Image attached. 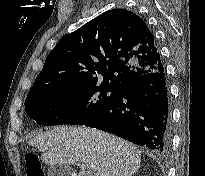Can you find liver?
<instances>
[{"label": "liver", "mask_w": 205, "mask_h": 176, "mask_svg": "<svg viewBox=\"0 0 205 176\" xmlns=\"http://www.w3.org/2000/svg\"><path fill=\"white\" fill-rule=\"evenodd\" d=\"M28 144L42 152L45 164H85L88 170L78 176H132L141 163V152L133 144L97 129L56 127Z\"/></svg>", "instance_id": "6515ba94"}]
</instances>
